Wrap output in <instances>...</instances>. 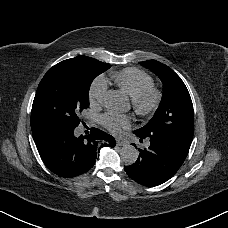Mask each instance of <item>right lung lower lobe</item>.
<instances>
[{"mask_svg":"<svg viewBox=\"0 0 228 228\" xmlns=\"http://www.w3.org/2000/svg\"><path fill=\"white\" fill-rule=\"evenodd\" d=\"M76 127L32 128L34 142L44 164L55 174L72 178L93 167L101 146H115V139L96 128L76 136Z\"/></svg>","mask_w":228,"mask_h":228,"instance_id":"98d812e1","label":"right lung lower lobe"}]
</instances>
